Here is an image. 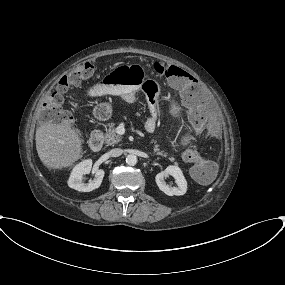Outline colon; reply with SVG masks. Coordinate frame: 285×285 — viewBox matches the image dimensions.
Returning a JSON list of instances; mask_svg holds the SVG:
<instances>
[{"label":"colon","instance_id":"obj_1","mask_svg":"<svg viewBox=\"0 0 285 285\" xmlns=\"http://www.w3.org/2000/svg\"><path fill=\"white\" fill-rule=\"evenodd\" d=\"M154 72L169 80L176 81L181 77V71L175 66H165L159 63L154 64ZM95 72L94 66L90 62H82L75 68L61 77L54 89L44 99L41 104V116L44 119L69 118L64 106V94L68 89L78 84L84 79L90 78ZM143 74V68L138 64H130L118 68L114 73L106 75L103 78V85L107 88L128 85L134 82L136 78ZM147 97L156 98L158 88L155 84H149L144 87ZM195 98L189 95L186 101H193ZM189 121L195 131L190 146L185 150L182 159L186 163H193L191 169L192 176L199 181L210 180L216 171L215 165L202 159L197 151V141L205 126V116L198 107H191L188 111Z\"/></svg>","mask_w":285,"mask_h":285}]
</instances>
